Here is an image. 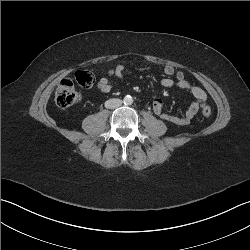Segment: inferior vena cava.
I'll return each instance as SVG.
<instances>
[{"label": "inferior vena cava", "instance_id": "1", "mask_svg": "<svg viewBox=\"0 0 250 250\" xmlns=\"http://www.w3.org/2000/svg\"><path fill=\"white\" fill-rule=\"evenodd\" d=\"M122 105V100L120 99H109L105 102V107L109 109H115Z\"/></svg>", "mask_w": 250, "mask_h": 250}]
</instances>
